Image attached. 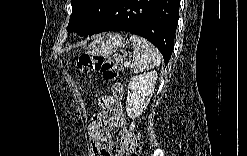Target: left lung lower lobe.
<instances>
[{"mask_svg": "<svg viewBox=\"0 0 247 156\" xmlns=\"http://www.w3.org/2000/svg\"><path fill=\"white\" fill-rule=\"evenodd\" d=\"M180 0H113L88 35L120 30L140 35L170 60L179 17Z\"/></svg>", "mask_w": 247, "mask_h": 156, "instance_id": "obj_1", "label": "left lung lower lobe"}]
</instances>
